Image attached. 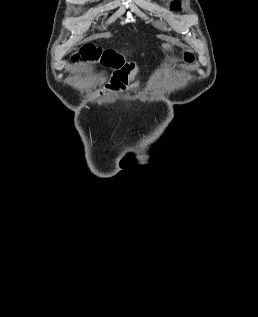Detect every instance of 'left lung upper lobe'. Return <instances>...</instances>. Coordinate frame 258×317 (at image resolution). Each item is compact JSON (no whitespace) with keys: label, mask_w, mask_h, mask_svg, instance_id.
Wrapping results in <instances>:
<instances>
[{"label":"left lung upper lobe","mask_w":258,"mask_h":317,"mask_svg":"<svg viewBox=\"0 0 258 317\" xmlns=\"http://www.w3.org/2000/svg\"><path fill=\"white\" fill-rule=\"evenodd\" d=\"M179 7H180V3H179V2H173V3H172V7H171V8H172L173 10H177Z\"/></svg>","instance_id":"1"}]
</instances>
